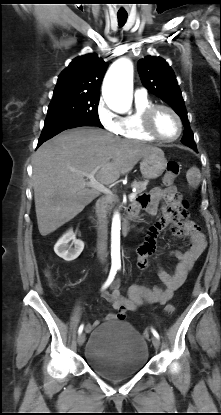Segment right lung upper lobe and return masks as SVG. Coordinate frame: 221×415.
I'll use <instances>...</instances> for the list:
<instances>
[{"instance_id": "1", "label": "right lung upper lobe", "mask_w": 221, "mask_h": 415, "mask_svg": "<svg viewBox=\"0 0 221 415\" xmlns=\"http://www.w3.org/2000/svg\"><path fill=\"white\" fill-rule=\"evenodd\" d=\"M107 65L95 53L73 59L59 75L54 94L73 92L100 95Z\"/></svg>"}]
</instances>
